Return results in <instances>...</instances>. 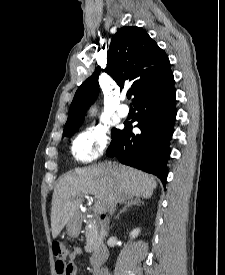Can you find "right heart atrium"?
I'll list each match as a JSON object with an SVG mask.
<instances>
[{"label": "right heart atrium", "mask_w": 225, "mask_h": 275, "mask_svg": "<svg viewBox=\"0 0 225 275\" xmlns=\"http://www.w3.org/2000/svg\"><path fill=\"white\" fill-rule=\"evenodd\" d=\"M108 144V132L103 127L81 131L72 142V155L80 163H91L100 157Z\"/></svg>", "instance_id": "1"}]
</instances>
